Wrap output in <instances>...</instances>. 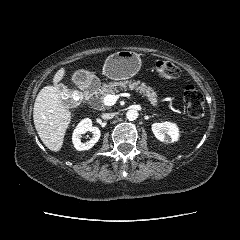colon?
Segmentation results:
<instances>
[{
	"label": "colon",
	"instance_id": "obj_1",
	"mask_svg": "<svg viewBox=\"0 0 240 240\" xmlns=\"http://www.w3.org/2000/svg\"><path fill=\"white\" fill-rule=\"evenodd\" d=\"M156 75L162 80H172L179 75V68L172 62L159 60L154 66ZM186 111L191 118H200L204 113L203 95L193 86L187 85L183 91Z\"/></svg>",
	"mask_w": 240,
	"mask_h": 240
}]
</instances>
